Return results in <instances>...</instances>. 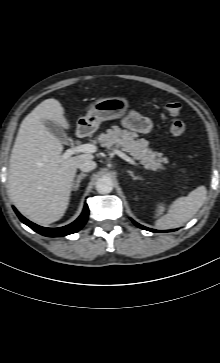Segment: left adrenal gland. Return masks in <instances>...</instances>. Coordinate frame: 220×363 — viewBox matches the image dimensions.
I'll use <instances>...</instances> for the list:
<instances>
[{
    "label": "left adrenal gland",
    "mask_w": 220,
    "mask_h": 363,
    "mask_svg": "<svg viewBox=\"0 0 220 363\" xmlns=\"http://www.w3.org/2000/svg\"><path fill=\"white\" fill-rule=\"evenodd\" d=\"M127 172L129 173V175H130V176H131L134 180L139 179L138 177H136V176L134 175V173H133L131 170H128Z\"/></svg>",
    "instance_id": "obj_1"
}]
</instances>
